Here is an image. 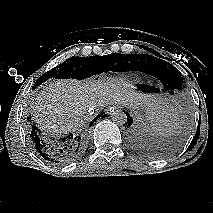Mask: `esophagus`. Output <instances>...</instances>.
<instances>
[{
  "label": "esophagus",
  "mask_w": 213,
  "mask_h": 213,
  "mask_svg": "<svg viewBox=\"0 0 213 213\" xmlns=\"http://www.w3.org/2000/svg\"><path fill=\"white\" fill-rule=\"evenodd\" d=\"M119 108H121V107H120V106H117V105H114V106L110 107V108H109L110 114L113 113L115 110H117V109H119Z\"/></svg>",
  "instance_id": "obj_1"
}]
</instances>
